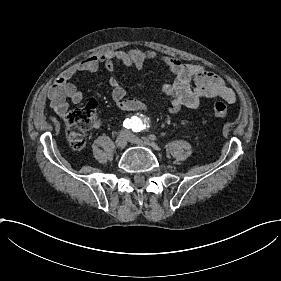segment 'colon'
Wrapping results in <instances>:
<instances>
[{
    "instance_id": "5ec220e1",
    "label": "colon",
    "mask_w": 281,
    "mask_h": 281,
    "mask_svg": "<svg viewBox=\"0 0 281 281\" xmlns=\"http://www.w3.org/2000/svg\"><path fill=\"white\" fill-rule=\"evenodd\" d=\"M209 112L212 116L223 119L229 112V107L221 101L212 102L209 106ZM66 123L70 134V143L74 148H82L86 144L87 122L79 112H70L67 115Z\"/></svg>"
}]
</instances>
